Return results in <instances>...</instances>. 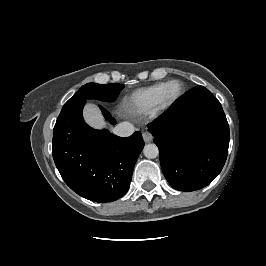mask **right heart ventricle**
Listing matches in <instances>:
<instances>
[{"label": "right heart ventricle", "mask_w": 266, "mask_h": 266, "mask_svg": "<svg viewBox=\"0 0 266 266\" xmlns=\"http://www.w3.org/2000/svg\"><path fill=\"white\" fill-rule=\"evenodd\" d=\"M166 83L156 84L135 91L124 103V108L132 114H148L158 109Z\"/></svg>", "instance_id": "e07e8e85"}]
</instances>
